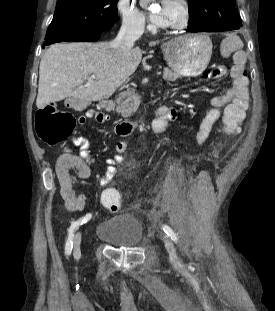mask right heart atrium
I'll return each instance as SVG.
<instances>
[{"mask_svg": "<svg viewBox=\"0 0 275 311\" xmlns=\"http://www.w3.org/2000/svg\"><path fill=\"white\" fill-rule=\"evenodd\" d=\"M117 10L122 26L132 32L141 33L146 29L145 14L136 6L133 0H117Z\"/></svg>", "mask_w": 275, "mask_h": 311, "instance_id": "right-heart-atrium-1", "label": "right heart atrium"}]
</instances>
